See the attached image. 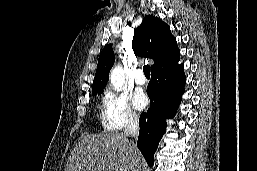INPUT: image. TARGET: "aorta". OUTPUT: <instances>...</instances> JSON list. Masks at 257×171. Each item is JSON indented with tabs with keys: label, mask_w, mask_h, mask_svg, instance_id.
<instances>
[{
	"label": "aorta",
	"mask_w": 257,
	"mask_h": 171,
	"mask_svg": "<svg viewBox=\"0 0 257 171\" xmlns=\"http://www.w3.org/2000/svg\"><path fill=\"white\" fill-rule=\"evenodd\" d=\"M110 83L117 91H121L124 84L123 71L121 66H115L110 72Z\"/></svg>",
	"instance_id": "obj_1"
}]
</instances>
